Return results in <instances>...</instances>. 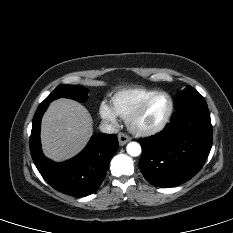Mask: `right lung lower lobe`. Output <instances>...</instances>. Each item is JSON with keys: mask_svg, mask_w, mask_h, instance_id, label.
<instances>
[{"mask_svg": "<svg viewBox=\"0 0 233 233\" xmlns=\"http://www.w3.org/2000/svg\"><path fill=\"white\" fill-rule=\"evenodd\" d=\"M49 103H41L33 117L30 153L44 180L57 191L77 197L95 192L105 178L111 158L119 143L115 134H95L85 149L73 159L55 163L41 151V118Z\"/></svg>", "mask_w": 233, "mask_h": 233, "instance_id": "right-lung-lower-lobe-1", "label": "right lung lower lobe"}]
</instances>
